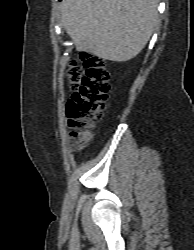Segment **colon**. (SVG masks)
Here are the masks:
<instances>
[{"mask_svg":"<svg viewBox=\"0 0 194 250\" xmlns=\"http://www.w3.org/2000/svg\"><path fill=\"white\" fill-rule=\"evenodd\" d=\"M66 77L73 91L66 109L70 136L76 147L82 148L89 142L95 124L103 117L110 72L102 58L81 54L80 62L69 61Z\"/></svg>","mask_w":194,"mask_h":250,"instance_id":"colon-1","label":"colon"}]
</instances>
